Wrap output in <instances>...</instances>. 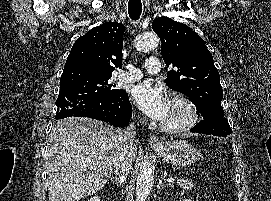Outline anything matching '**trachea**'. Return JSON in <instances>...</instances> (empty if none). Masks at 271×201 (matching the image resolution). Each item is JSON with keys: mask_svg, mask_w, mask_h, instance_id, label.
Returning <instances> with one entry per match:
<instances>
[{"mask_svg": "<svg viewBox=\"0 0 271 201\" xmlns=\"http://www.w3.org/2000/svg\"><path fill=\"white\" fill-rule=\"evenodd\" d=\"M142 12L141 0H129L128 2V13L132 20L139 19Z\"/></svg>", "mask_w": 271, "mask_h": 201, "instance_id": "obj_1", "label": "trachea"}]
</instances>
